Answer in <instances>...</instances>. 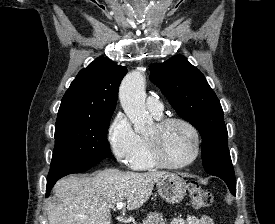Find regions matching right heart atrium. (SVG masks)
<instances>
[{
    "label": "right heart atrium",
    "mask_w": 275,
    "mask_h": 224,
    "mask_svg": "<svg viewBox=\"0 0 275 224\" xmlns=\"http://www.w3.org/2000/svg\"><path fill=\"white\" fill-rule=\"evenodd\" d=\"M108 142L115 158L128 163L139 145V135L123 113H118L108 129Z\"/></svg>",
    "instance_id": "obj_1"
}]
</instances>
